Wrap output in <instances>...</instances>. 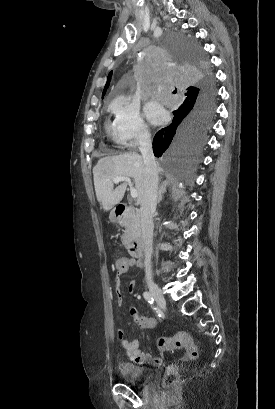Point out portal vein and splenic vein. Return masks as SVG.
I'll return each instance as SVG.
<instances>
[{
	"instance_id": "18ae733b",
	"label": "portal vein and splenic vein",
	"mask_w": 275,
	"mask_h": 409,
	"mask_svg": "<svg viewBox=\"0 0 275 409\" xmlns=\"http://www.w3.org/2000/svg\"><path fill=\"white\" fill-rule=\"evenodd\" d=\"M121 180H126V182H128L131 196L132 198H136V196H138V190L132 186L131 178H129V176H116V178H113V182H115V184H118V182H121Z\"/></svg>"
}]
</instances>
